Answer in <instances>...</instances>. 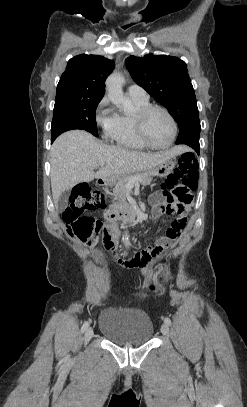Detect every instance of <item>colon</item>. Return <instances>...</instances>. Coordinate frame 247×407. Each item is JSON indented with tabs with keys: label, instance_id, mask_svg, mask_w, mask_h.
Instances as JSON below:
<instances>
[{
	"label": "colon",
	"instance_id": "5ec220e1",
	"mask_svg": "<svg viewBox=\"0 0 247 407\" xmlns=\"http://www.w3.org/2000/svg\"><path fill=\"white\" fill-rule=\"evenodd\" d=\"M199 164L194 154L184 153L178 160L174 171L167 177L161 188L172 191L176 199L183 203L192 201L191 192L198 186ZM105 205L104 196L88 185H79L70 197L69 205L62 214V219L71 236H77L81 242L92 247L106 232L101 221L85 216L86 212L94 211ZM159 281H164L162 274ZM153 292L161 290L159 282L150 285Z\"/></svg>",
	"mask_w": 247,
	"mask_h": 407
}]
</instances>
